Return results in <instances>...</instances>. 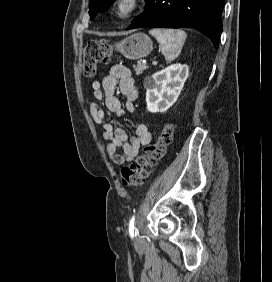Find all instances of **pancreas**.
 <instances>
[{
    "mask_svg": "<svg viewBox=\"0 0 272 282\" xmlns=\"http://www.w3.org/2000/svg\"><path fill=\"white\" fill-rule=\"evenodd\" d=\"M146 69H148V66L146 64L142 63L141 61H138L137 65L134 66V70H135L137 75L142 74Z\"/></svg>",
    "mask_w": 272,
    "mask_h": 282,
    "instance_id": "pancreas-1",
    "label": "pancreas"
}]
</instances>
